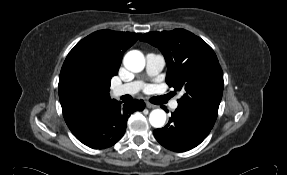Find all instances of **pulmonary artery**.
<instances>
[{
    "label": "pulmonary artery",
    "instance_id": "obj_1",
    "mask_svg": "<svg viewBox=\"0 0 287 175\" xmlns=\"http://www.w3.org/2000/svg\"><path fill=\"white\" fill-rule=\"evenodd\" d=\"M165 66V59L161 54L148 53L146 55V74L150 77L159 74ZM144 86L142 80H135L123 85H118L114 88L115 96L134 95L138 93ZM178 107V102L175 100L171 103V109L175 110Z\"/></svg>",
    "mask_w": 287,
    "mask_h": 175
}]
</instances>
